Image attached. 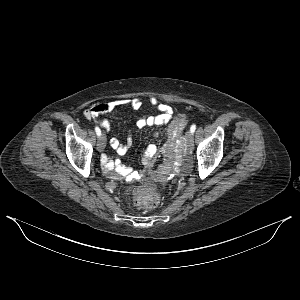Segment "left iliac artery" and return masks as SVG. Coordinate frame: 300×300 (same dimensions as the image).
Wrapping results in <instances>:
<instances>
[{"label":"left iliac artery","mask_w":300,"mask_h":300,"mask_svg":"<svg viewBox=\"0 0 300 300\" xmlns=\"http://www.w3.org/2000/svg\"><path fill=\"white\" fill-rule=\"evenodd\" d=\"M195 130H196V125L193 124V125L190 127V131H191V133H194Z\"/></svg>","instance_id":"44dca946"}]
</instances>
